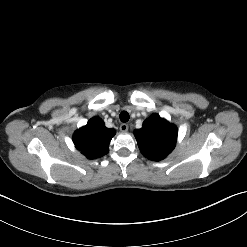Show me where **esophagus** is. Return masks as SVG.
<instances>
[{
    "mask_svg": "<svg viewBox=\"0 0 247 247\" xmlns=\"http://www.w3.org/2000/svg\"><path fill=\"white\" fill-rule=\"evenodd\" d=\"M128 129H129V126H128L127 124L122 123V124L120 125V130H121L122 132H126V131H128Z\"/></svg>",
    "mask_w": 247,
    "mask_h": 247,
    "instance_id": "34e87169",
    "label": "esophagus"
}]
</instances>
